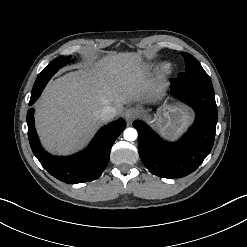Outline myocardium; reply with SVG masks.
Returning a JSON list of instances; mask_svg holds the SVG:
<instances>
[{
	"label": "myocardium",
	"instance_id": "1",
	"mask_svg": "<svg viewBox=\"0 0 247 247\" xmlns=\"http://www.w3.org/2000/svg\"><path fill=\"white\" fill-rule=\"evenodd\" d=\"M162 73L169 74L172 72V65L170 63H166L162 66L161 69Z\"/></svg>",
	"mask_w": 247,
	"mask_h": 247
}]
</instances>
